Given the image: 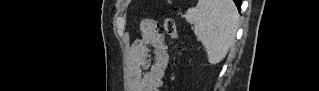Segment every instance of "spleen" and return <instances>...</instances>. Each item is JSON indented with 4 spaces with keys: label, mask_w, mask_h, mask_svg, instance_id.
I'll use <instances>...</instances> for the list:
<instances>
[{
    "label": "spleen",
    "mask_w": 319,
    "mask_h": 91,
    "mask_svg": "<svg viewBox=\"0 0 319 91\" xmlns=\"http://www.w3.org/2000/svg\"><path fill=\"white\" fill-rule=\"evenodd\" d=\"M185 19L207 53L212 65L221 62L235 40L239 14L232 0H199L186 11Z\"/></svg>",
    "instance_id": "obj_1"
}]
</instances>
